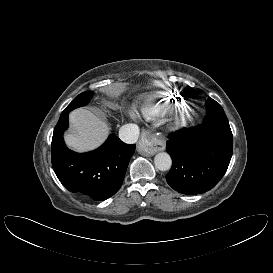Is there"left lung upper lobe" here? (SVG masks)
<instances>
[{
	"instance_id": "obj_1",
	"label": "left lung upper lobe",
	"mask_w": 273,
	"mask_h": 273,
	"mask_svg": "<svg viewBox=\"0 0 273 273\" xmlns=\"http://www.w3.org/2000/svg\"><path fill=\"white\" fill-rule=\"evenodd\" d=\"M205 107H206L205 118L226 117L223 108L212 98L207 99Z\"/></svg>"
}]
</instances>
